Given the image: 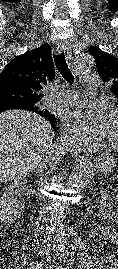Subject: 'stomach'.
Wrapping results in <instances>:
<instances>
[{"instance_id":"1","label":"stomach","mask_w":118,"mask_h":269,"mask_svg":"<svg viewBox=\"0 0 118 269\" xmlns=\"http://www.w3.org/2000/svg\"><path fill=\"white\" fill-rule=\"evenodd\" d=\"M97 169L103 174H110L115 168V161L110 156H102L96 165Z\"/></svg>"}]
</instances>
